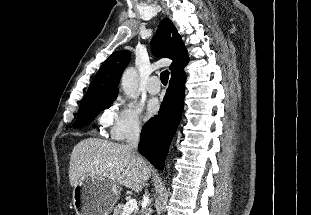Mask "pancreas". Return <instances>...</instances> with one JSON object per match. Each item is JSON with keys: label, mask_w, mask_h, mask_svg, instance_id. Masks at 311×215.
Returning <instances> with one entry per match:
<instances>
[{"label": "pancreas", "mask_w": 311, "mask_h": 215, "mask_svg": "<svg viewBox=\"0 0 311 215\" xmlns=\"http://www.w3.org/2000/svg\"><path fill=\"white\" fill-rule=\"evenodd\" d=\"M123 208H124L123 204H118L113 210V215H122Z\"/></svg>", "instance_id": "cf45deb5"}]
</instances>
